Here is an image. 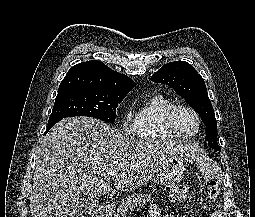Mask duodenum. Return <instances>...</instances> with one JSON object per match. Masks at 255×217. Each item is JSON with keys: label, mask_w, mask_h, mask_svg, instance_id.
<instances>
[{"label": "duodenum", "mask_w": 255, "mask_h": 217, "mask_svg": "<svg viewBox=\"0 0 255 217\" xmlns=\"http://www.w3.org/2000/svg\"><path fill=\"white\" fill-rule=\"evenodd\" d=\"M111 206L103 204L96 211V217H110L111 215Z\"/></svg>", "instance_id": "410a0bca"}]
</instances>
